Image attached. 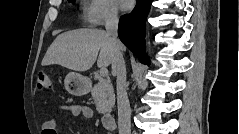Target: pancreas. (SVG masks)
I'll use <instances>...</instances> for the list:
<instances>
[{
  "mask_svg": "<svg viewBox=\"0 0 239 134\" xmlns=\"http://www.w3.org/2000/svg\"><path fill=\"white\" fill-rule=\"evenodd\" d=\"M98 113L104 114L115 104L113 86L109 81L98 82L91 91Z\"/></svg>",
  "mask_w": 239,
  "mask_h": 134,
  "instance_id": "cf45deb5",
  "label": "pancreas"
}]
</instances>
